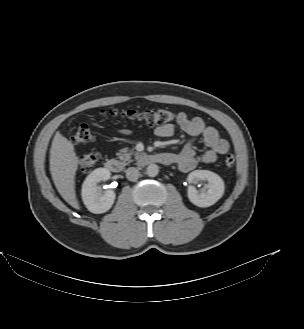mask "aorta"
I'll return each mask as SVG.
<instances>
[{"label": "aorta", "instance_id": "aorta-1", "mask_svg": "<svg viewBox=\"0 0 304 329\" xmlns=\"http://www.w3.org/2000/svg\"><path fill=\"white\" fill-rule=\"evenodd\" d=\"M158 172H159V167L156 164H150L146 169V174L149 177L157 176Z\"/></svg>", "mask_w": 304, "mask_h": 329}]
</instances>
